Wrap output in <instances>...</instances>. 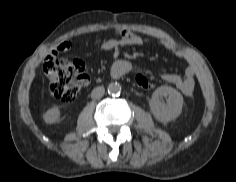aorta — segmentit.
I'll use <instances>...</instances> for the list:
<instances>
[{
    "label": "aorta",
    "instance_id": "762f6f07",
    "mask_svg": "<svg viewBox=\"0 0 236 182\" xmlns=\"http://www.w3.org/2000/svg\"><path fill=\"white\" fill-rule=\"evenodd\" d=\"M107 90H108V93L111 95H118L121 93V85L117 82H111L108 85Z\"/></svg>",
    "mask_w": 236,
    "mask_h": 182
}]
</instances>
